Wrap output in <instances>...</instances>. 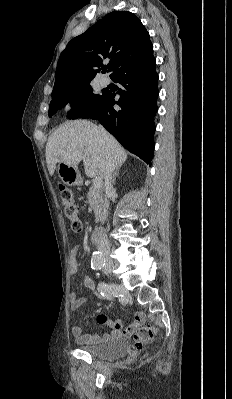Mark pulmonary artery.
Wrapping results in <instances>:
<instances>
[{
  "label": "pulmonary artery",
  "instance_id": "pulmonary-artery-1",
  "mask_svg": "<svg viewBox=\"0 0 232 399\" xmlns=\"http://www.w3.org/2000/svg\"><path fill=\"white\" fill-rule=\"evenodd\" d=\"M98 83H99V85H100L101 87H106V86L109 85L110 80H109V78L106 77L105 75H102V76L99 78Z\"/></svg>",
  "mask_w": 232,
  "mask_h": 399
}]
</instances>
